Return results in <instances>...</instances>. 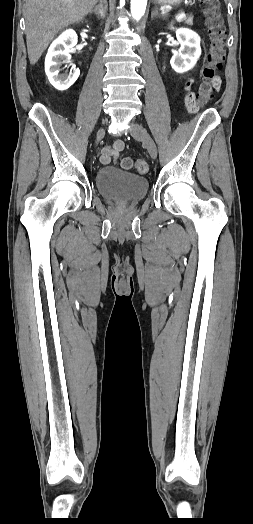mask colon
Masks as SVG:
<instances>
[{"instance_id": "1", "label": "colon", "mask_w": 253, "mask_h": 524, "mask_svg": "<svg viewBox=\"0 0 253 524\" xmlns=\"http://www.w3.org/2000/svg\"><path fill=\"white\" fill-rule=\"evenodd\" d=\"M199 2L206 15V25L210 39L206 64L203 69V80L197 91L198 103L200 104L208 101L213 95V80L225 57V29L217 12L216 0H199ZM188 111L190 112V110ZM133 165L138 173L143 174L148 171V164L144 160L133 162L130 158H125L121 161V166L124 169H130Z\"/></svg>"}]
</instances>
